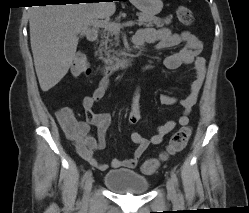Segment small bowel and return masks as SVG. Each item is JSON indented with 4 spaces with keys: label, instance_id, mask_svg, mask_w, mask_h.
Wrapping results in <instances>:
<instances>
[{
    "label": "small bowel",
    "instance_id": "c3829d8e",
    "mask_svg": "<svg viewBox=\"0 0 249 213\" xmlns=\"http://www.w3.org/2000/svg\"><path fill=\"white\" fill-rule=\"evenodd\" d=\"M133 42L136 45L153 44L157 50L182 45V48L178 52L170 54L164 59V65L169 70L177 69L181 65H193L194 79L190 84L188 95L180 101L183 113L178 118V121L169 120L163 125L158 126L155 133L150 137H145L136 131L132 132L130 138L136 145V149L130 158L112 159L111 167L115 169L134 168L150 145L160 144L165 135L174 130L177 124L180 126L188 125L189 114L197 102L206 75V60L200 56L202 43L195 35L188 31L174 33L169 28L146 27L136 33ZM148 68L150 67L147 66L146 69ZM109 83V78L104 77L93 92L83 99V107L86 114L85 121L77 120L73 110L69 107H63L56 112L60 126L69 138L75 142L81 158L89 165L101 171L106 170L108 165L99 162L94 156V152L106 147V136L111 124V115L108 113H96L93 107L96 102L104 97ZM160 101L163 105H173L176 100L174 97L162 95ZM140 120L139 99L135 95L132 100L128 122L130 124H137ZM91 126H95L97 129L95 136L90 132Z\"/></svg>",
    "mask_w": 249,
    "mask_h": 213
}]
</instances>
